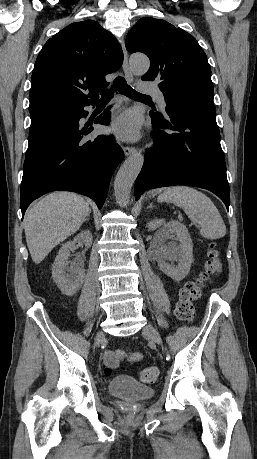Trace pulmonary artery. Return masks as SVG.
Returning <instances> with one entry per match:
<instances>
[{
  "label": "pulmonary artery",
  "mask_w": 257,
  "mask_h": 459,
  "mask_svg": "<svg viewBox=\"0 0 257 459\" xmlns=\"http://www.w3.org/2000/svg\"><path fill=\"white\" fill-rule=\"evenodd\" d=\"M143 92L153 95L155 97L156 101L158 102V104L160 105V107L161 108H165V106H166L165 98H164V95L162 94V92L159 89H157V88H144Z\"/></svg>",
  "instance_id": "pulmonary-artery-1"
}]
</instances>
